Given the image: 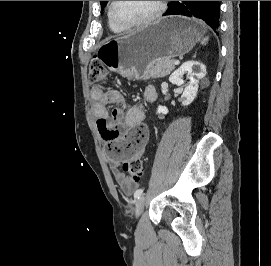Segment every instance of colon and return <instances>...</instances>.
Listing matches in <instances>:
<instances>
[{
  "label": "colon",
  "instance_id": "colon-1",
  "mask_svg": "<svg viewBox=\"0 0 271 266\" xmlns=\"http://www.w3.org/2000/svg\"><path fill=\"white\" fill-rule=\"evenodd\" d=\"M106 76V70L100 62L94 60L91 62L88 79L90 82H97L104 79ZM123 171L129 175V177L136 182H139L144 173V166L141 160L132 159L123 164Z\"/></svg>",
  "mask_w": 271,
  "mask_h": 266
}]
</instances>
